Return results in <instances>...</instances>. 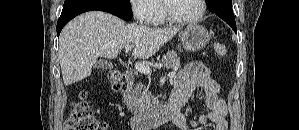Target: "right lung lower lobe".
Masks as SVG:
<instances>
[{
  "label": "right lung lower lobe",
  "instance_id": "right-lung-lower-lobe-1",
  "mask_svg": "<svg viewBox=\"0 0 299 130\" xmlns=\"http://www.w3.org/2000/svg\"><path fill=\"white\" fill-rule=\"evenodd\" d=\"M105 11L124 20L132 18V10L115 0H65L61 16L57 22V35L62 28L75 16L87 11Z\"/></svg>",
  "mask_w": 299,
  "mask_h": 130
}]
</instances>
